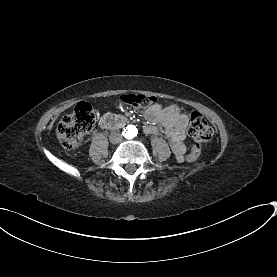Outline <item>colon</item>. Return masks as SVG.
<instances>
[{"label":"colon","instance_id":"1","mask_svg":"<svg viewBox=\"0 0 277 277\" xmlns=\"http://www.w3.org/2000/svg\"><path fill=\"white\" fill-rule=\"evenodd\" d=\"M115 100L121 105H129L134 109L148 107L154 103L153 97L136 94L119 95ZM91 105V99H78L75 111L65 115L58 124L57 139L65 150L77 148L83 137L92 129L95 113ZM188 134L198 142L207 143L213 137V129L200 114L193 113L189 121ZM201 153V147L195 144L188 153L187 160L196 162Z\"/></svg>","mask_w":277,"mask_h":277}]
</instances>
